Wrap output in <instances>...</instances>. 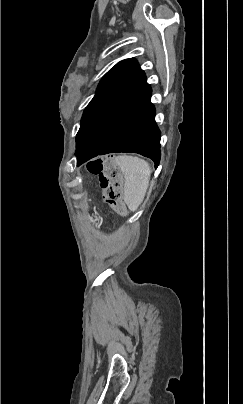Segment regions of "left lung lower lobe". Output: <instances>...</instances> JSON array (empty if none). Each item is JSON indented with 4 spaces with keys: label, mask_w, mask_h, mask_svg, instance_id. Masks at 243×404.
<instances>
[{
    "label": "left lung lower lobe",
    "mask_w": 243,
    "mask_h": 404,
    "mask_svg": "<svg viewBox=\"0 0 243 404\" xmlns=\"http://www.w3.org/2000/svg\"><path fill=\"white\" fill-rule=\"evenodd\" d=\"M146 82L104 112L76 153L77 166L106 153L135 152L160 162V130Z\"/></svg>",
    "instance_id": "left-lung-lower-lobe-1"
}]
</instances>
